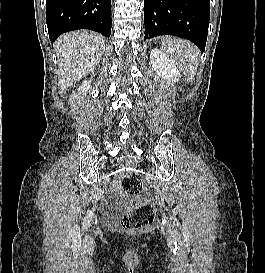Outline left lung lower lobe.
<instances>
[{
	"label": "left lung lower lobe",
	"mask_w": 265,
	"mask_h": 273,
	"mask_svg": "<svg viewBox=\"0 0 265 273\" xmlns=\"http://www.w3.org/2000/svg\"><path fill=\"white\" fill-rule=\"evenodd\" d=\"M145 39L174 35L205 50L210 0H144Z\"/></svg>",
	"instance_id": "left-lung-lower-lobe-1"
}]
</instances>
